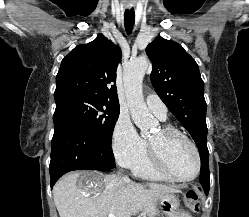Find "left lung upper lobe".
Returning <instances> with one entry per match:
<instances>
[{
  "label": "left lung upper lobe",
  "instance_id": "left-lung-upper-lobe-1",
  "mask_svg": "<svg viewBox=\"0 0 249 217\" xmlns=\"http://www.w3.org/2000/svg\"><path fill=\"white\" fill-rule=\"evenodd\" d=\"M156 93L196 142L201 169L209 173L204 83L195 60L171 40L157 37L146 48ZM210 175V173H209Z\"/></svg>",
  "mask_w": 249,
  "mask_h": 217
}]
</instances>
